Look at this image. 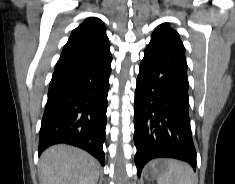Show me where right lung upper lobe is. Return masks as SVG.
<instances>
[{
  "instance_id": "right-lung-upper-lobe-1",
  "label": "right lung upper lobe",
  "mask_w": 235,
  "mask_h": 184,
  "mask_svg": "<svg viewBox=\"0 0 235 184\" xmlns=\"http://www.w3.org/2000/svg\"><path fill=\"white\" fill-rule=\"evenodd\" d=\"M105 26L98 18H88L74 29L60 59L97 60L111 57Z\"/></svg>"
}]
</instances>
